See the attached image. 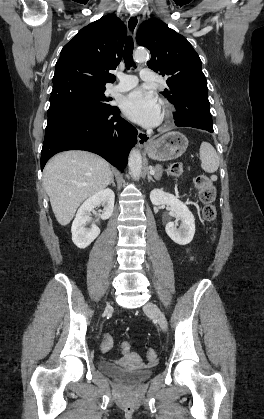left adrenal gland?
<instances>
[{"mask_svg": "<svg viewBox=\"0 0 264 419\" xmlns=\"http://www.w3.org/2000/svg\"><path fill=\"white\" fill-rule=\"evenodd\" d=\"M150 169H151V167H150ZM148 181L150 182V181H152V182H155V180L152 178V176L150 175V173L148 172Z\"/></svg>", "mask_w": 264, "mask_h": 419, "instance_id": "a2214340", "label": "left adrenal gland"}]
</instances>
